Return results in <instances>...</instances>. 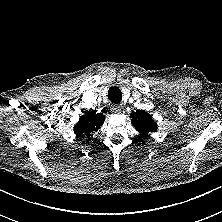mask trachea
Masks as SVG:
<instances>
[{"mask_svg": "<svg viewBox=\"0 0 222 222\" xmlns=\"http://www.w3.org/2000/svg\"><path fill=\"white\" fill-rule=\"evenodd\" d=\"M108 98L112 103H119L122 100V92L118 87H111L108 91Z\"/></svg>", "mask_w": 222, "mask_h": 222, "instance_id": "3493384b", "label": "trachea"}]
</instances>
